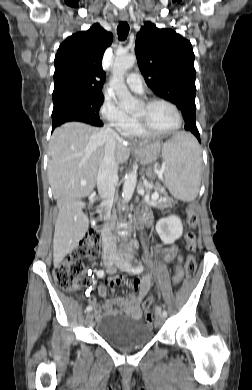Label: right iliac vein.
<instances>
[{
	"mask_svg": "<svg viewBox=\"0 0 252 390\" xmlns=\"http://www.w3.org/2000/svg\"><path fill=\"white\" fill-rule=\"evenodd\" d=\"M116 258L114 256H109L104 258V265L108 268L111 269L115 262ZM92 321V315L90 313L86 314V322L89 324Z\"/></svg>",
	"mask_w": 252,
	"mask_h": 390,
	"instance_id": "right-iliac-vein-1",
	"label": "right iliac vein"
}]
</instances>
